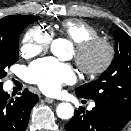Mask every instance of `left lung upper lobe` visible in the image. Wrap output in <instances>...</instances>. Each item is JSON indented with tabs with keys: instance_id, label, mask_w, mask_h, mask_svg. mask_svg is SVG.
<instances>
[{
	"instance_id": "1",
	"label": "left lung upper lobe",
	"mask_w": 131,
	"mask_h": 131,
	"mask_svg": "<svg viewBox=\"0 0 131 131\" xmlns=\"http://www.w3.org/2000/svg\"><path fill=\"white\" fill-rule=\"evenodd\" d=\"M115 57L109 68L96 80L77 88L78 97L93 99L131 119V37L115 30Z\"/></svg>"
}]
</instances>
